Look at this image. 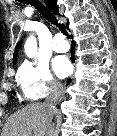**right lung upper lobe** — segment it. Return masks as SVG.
<instances>
[{"label": "right lung upper lobe", "mask_w": 117, "mask_h": 136, "mask_svg": "<svg viewBox=\"0 0 117 136\" xmlns=\"http://www.w3.org/2000/svg\"><path fill=\"white\" fill-rule=\"evenodd\" d=\"M45 3L47 4L48 8L54 13V14H59L58 6L56 5V0H45ZM20 43L16 46L15 48V53H14V63L16 62V56L18 52Z\"/></svg>", "instance_id": "cb5924a9"}]
</instances>
